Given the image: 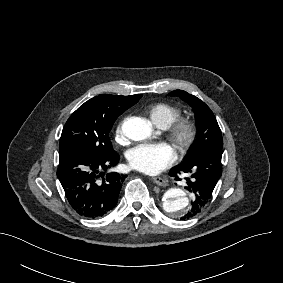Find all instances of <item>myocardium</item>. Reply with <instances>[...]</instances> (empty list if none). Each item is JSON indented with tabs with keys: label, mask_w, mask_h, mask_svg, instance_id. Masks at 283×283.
Segmentation results:
<instances>
[{
	"label": "myocardium",
	"mask_w": 283,
	"mask_h": 283,
	"mask_svg": "<svg viewBox=\"0 0 283 283\" xmlns=\"http://www.w3.org/2000/svg\"><path fill=\"white\" fill-rule=\"evenodd\" d=\"M168 137L179 148L180 156L184 157L196 140L197 125L191 119H178L168 127Z\"/></svg>",
	"instance_id": "1"
}]
</instances>
